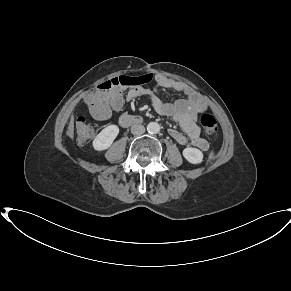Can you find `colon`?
I'll return each mask as SVG.
<instances>
[{
    "label": "colon",
    "mask_w": 291,
    "mask_h": 291,
    "mask_svg": "<svg viewBox=\"0 0 291 291\" xmlns=\"http://www.w3.org/2000/svg\"><path fill=\"white\" fill-rule=\"evenodd\" d=\"M141 82L140 78L130 76H118L106 80L96 87V92L102 94L104 92L126 88ZM200 124L208 135L215 136L218 134L219 127L216 118L210 113H203L200 116ZM76 139L79 144H86L94 136V126L87 121L84 116H77L75 118Z\"/></svg>",
    "instance_id": "colon-1"
}]
</instances>
